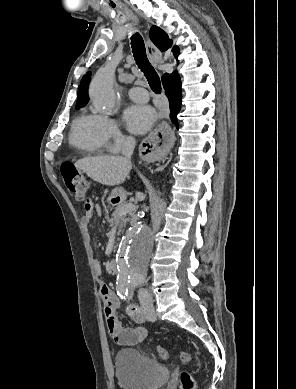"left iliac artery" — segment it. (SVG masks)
Wrapping results in <instances>:
<instances>
[{
	"label": "left iliac artery",
	"mask_w": 296,
	"mask_h": 389,
	"mask_svg": "<svg viewBox=\"0 0 296 389\" xmlns=\"http://www.w3.org/2000/svg\"><path fill=\"white\" fill-rule=\"evenodd\" d=\"M129 314L136 320H142V318H143L142 312L135 305L130 306Z\"/></svg>",
	"instance_id": "44dca946"
}]
</instances>
